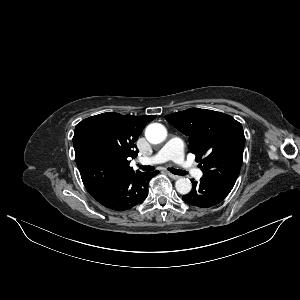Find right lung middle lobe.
Instances as JSON below:
<instances>
[{
    "label": "right lung middle lobe",
    "instance_id": "right-lung-middle-lobe-1",
    "mask_svg": "<svg viewBox=\"0 0 300 300\" xmlns=\"http://www.w3.org/2000/svg\"><path fill=\"white\" fill-rule=\"evenodd\" d=\"M75 160L86 188L114 179L112 162L93 131L81 129L73 137Z\"/></svg>",
    "mask_w": 300,
    "mask_h": 300
}]
</instances>
